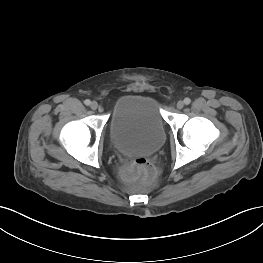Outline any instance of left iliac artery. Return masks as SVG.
<instances>
[{
  "label": "left iliac artery",
  "instance_id": "1",
  "mask_svg": "<svg viewBox=\"0 0 263 263\" xmlns=\"http://www.w3.org/2000/svg\"><path fill=\"white\" fill-rule=\"evenodd\" d=\"M184 103H185L186 105L190 104V103H191V99H190V98H185V99H184Z\"/></svg>",
  "mask_w": 263,
  "mask_h": 263
}]
</instances>
